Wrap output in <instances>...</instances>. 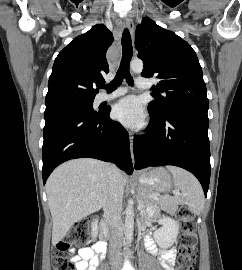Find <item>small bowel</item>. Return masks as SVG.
Wrapping results in <instances>:
<instances>
[{"mask_svg": "<svg viewBox=\"0 0 242 270\" xmlns=\"http://www.w3.org/2000/svg\"><path fill=\"white\" fill-rule=\"evenodd\" d=\"M151 217L155 216V213L150 214ZM146 245L150 250L155 249L153 241L149 238L146 239ZM104 246L102 242H97L91 247H84L78 250V254L75 257L76 270H97V266L100 262L99 254L101 248ZM176 253L172 250H166L161 253V263L164 270H174L175 268Z\"/></svg>", "mask_w": 242, "mask_h": 270, "instance_id": "c3829d8e", "label": "small bowel"}]
</instances>
